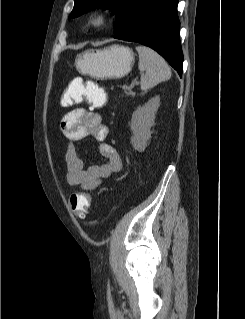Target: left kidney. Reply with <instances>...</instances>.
Segmentation results:
<instances>
[{
  "label": "left kidney",
  "instance_id": "left-kidney-1",
  "mask_svg": "<svg viewBox=\"0 0 245 319\" xmlns=\"http://www.w3.org/2000/svg\"><path fill=\"white\" fill-rule=\"evenodd\" d=\"M160 105V97L155 96L150 99L144 106L138 107L132 115L131 144L139 152L145 150L147 141L151 138V127L154 124L155 115Z\"/></svg>",
  "mask_w": 245,
  "mask_h": 319
}]
</instances>
